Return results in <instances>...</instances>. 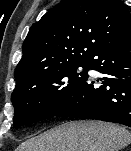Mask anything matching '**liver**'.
Returning <instances> with one entry per match:
<instances>
[{
    "label": "liver",
    "instance_id": "obj_1",
    "mask_svg": "<svg viewBox=\"0 0 131 151\" xmlns=\"http://www.w3.org/2000/svg\"><path fill=\"white\" fill-rule=\"evenodd\" d=\"M131 143L124 127L100 121L64 123L23 142L16 151H119Z\"/></svg>",
    "mask_w": 131,
    "mask_h": 151
}]
</instances>
